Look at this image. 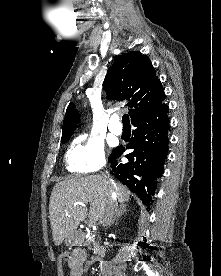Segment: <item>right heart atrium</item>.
<instances>
[{
    "label": "right heart atrium",
    "instance_id": "obj_1",
    "mask_svg": "<svg viewBox=\"0 0 221 276\" xmlns=\"http://www.w3.org/2000/svg\"><path fill=\"white\" fill-rule=\"evenodd\" d=\"M106 162L103 144L95 137L77 138L66 153L68 169L76 173H91L101 169Z\"/></svg>",
    "mask_w": 221,
    "mask_h": 276
}]
</instances>
